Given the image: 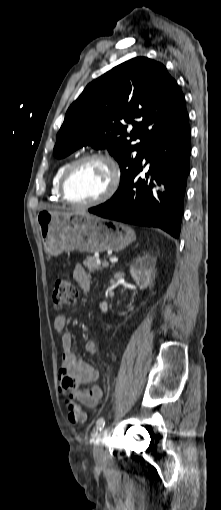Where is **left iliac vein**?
Returning a JSON list of instances; mask_svg holds the SVG:
<instances>
[{
    "label": "left iliac vein",
    "mask_w": 221,
    "mask_h": 510,
    "mask_svg": "<svg viewBox=\"0 0 221 510\" xmlns=\"http://www.w3.org/2000/svg\"><path fill=\"white\" fill-rule=\"evenodd\" d=\"M109 437V429L105 428L99 438V442L95 445L93 455L97 465H102L104 460L103 444Z\"/></svg>",
    "instance_id": "4c4485c4"
}]
</instances>
